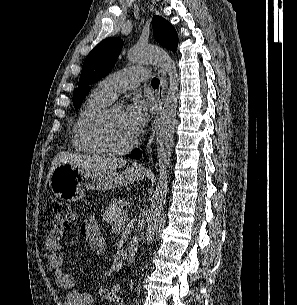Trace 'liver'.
I'll return each mask as SVG.
<instances>
[{
  "label": "liver",
  "instance_id": "obj_1",
  "mask_svg": "<svg viewBox=\"0 0 297 305\" xmlns=\"http://www.w3.org/2000/svg\"><path fill=\"white\" fill-rule=\"evenodd\" d=\"M60 163H69L79 167L103 170H116L117 168L123 167L127 163V161L118 158H106L100 156L60 152L54 157L52 161L47 180H50L52 172Z\"/></svg>",
  "mask_w": 297,
  "mask_h": 305
}]
</instances>
